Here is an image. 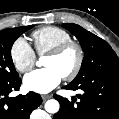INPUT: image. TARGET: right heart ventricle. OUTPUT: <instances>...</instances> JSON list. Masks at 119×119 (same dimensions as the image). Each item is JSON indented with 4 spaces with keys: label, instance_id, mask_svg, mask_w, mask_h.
Wrapping results in <instances>:
<instances>
[{
    "label": "right heart ventricle",
    "instance_id": "e07e8e85",
    "mask_svg": "<svg viewBox=\"0 0 119 119\" xmlns=\"http://www.w3.org/2000/svg\"><path fill=\"white\" fill-rule=\"evenodd\" d=\"M32 39L38 54L48 53L58 45L72 40L71 34L57 26L42 27L32 33Z\"/></svg>",
    "mask_w": 119,
    "mask_h": 119
}]
</instances>
